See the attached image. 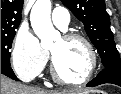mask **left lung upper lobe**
I'll use <instances>...</instances> for the list:
<instances>
[{
    "label": "left lung upper lobe",
    "mask_w": 121,
    "mask_h": 94,
    "mask_svg": "<svg viewBox=\"0 0 121 94\" xmlns=\"http://www.w3.org/2000/svg\"><path fill=\"white\" fill-rule=\"evenodd\" d=\"M85 25V31L100 54L105 68H121V59L110 29L104 0H61Z\"/></svg>",
    "instance_id": "left-lung-upper-lobe-1"
}]
</instances>
